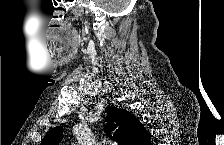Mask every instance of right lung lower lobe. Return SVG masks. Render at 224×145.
Segmentation results:
<instances>
[{
    "instance_id": "1",
    "label": "right lung lower lobe",
    "mask_w": 224,
    "mask_h": 145,
    "mask_svg": "<svg viewBox=\"0 0 224 145\" xmlns=\"http://www.w3.org/2000/svg\"><path fill=\"white\" fill-rule=\"evenodd\" d=\"M150 144V139L145 143V145H149Z\"/></svg>"
}]
</instances>
